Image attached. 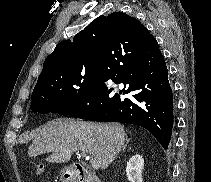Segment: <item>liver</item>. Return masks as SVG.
I'll use <instances>...</instances> for the list:
<instances>
[{
	"label": "liver",
	"instance_id": "obj_1",
	"mask_svg": "<svg viewBox=\"0 0 211 182\" xmlns=\"http://www.w3.org/2000/svg\"><path fill=\"white\" fill-rule=\"evenodd\" d=\"M126 133L119 124H102L75 119L49 121L29 146L28 155L36 157L52 153L46 160L65 163L73 152L92 154L100 167L106 169L121 151Z\"/></svg>",
	"mask_w": 211,
	"mask_h": 182
}]
</instances>
